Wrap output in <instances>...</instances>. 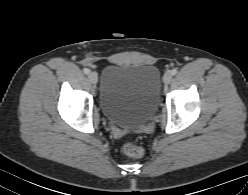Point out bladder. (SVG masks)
<instances>
[{"label": "bladder", "instance_id": "31cf9c89", "mask_svg": "<svg viewBox=\"0 0 248 195\" xmlns=\"http://www.w3.org/2000/svg\"><path fill=\"white\" fill-rule=\"evenodd\" d=\"M161 94V75L153 65H111L100 78L99 105L108 121L137 129L153 116Z\"/></svg>", "mask_w": 248, "mask_h": 195}]
</instances>
